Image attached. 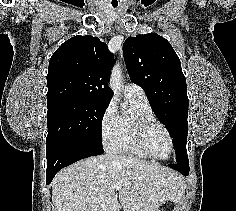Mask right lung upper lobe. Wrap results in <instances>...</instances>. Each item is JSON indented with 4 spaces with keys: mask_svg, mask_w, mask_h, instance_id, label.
Here are the masks:
<instances>
[{
    "mask_svg": "<svg viewBox=\"0 0 236 211\" xmlns=\"http://www.w3.org/2000/svg\"><path fill=\"white\" fill-rule=\"evenodd\" d=\"M114 56L91 35L74 36L52 55L47 74V107L64 101L109 103Z\"/></svg>",
    "mask_w": 236,
    "mask_h": 211,
    "instance_id": "right-lung-upper-lobe-1",
    "label": "right lung upper lobe"
}]
</instances>
